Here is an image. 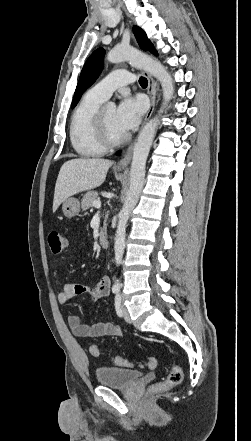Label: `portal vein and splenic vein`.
Listing matches in <instances>:
<instances>
[{
  "mask_svg": "<svg viewBox=\"0 0 251 441\" xmlns=\"http://www.w3.org/2000/svg\"><path fill=\"white\" fill-rule=\"evenodd\" d=\"M93 206L97 209L101 208V202L99 200H95L93 202Z\"/></svg>",
  "mask_w": 251,
  "mask_h": 441,
  "instance_id": "obj_1",
  "label": "portal vein and splenic vein"
}]
</instances>
